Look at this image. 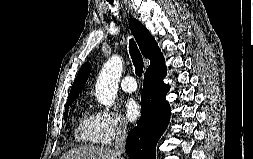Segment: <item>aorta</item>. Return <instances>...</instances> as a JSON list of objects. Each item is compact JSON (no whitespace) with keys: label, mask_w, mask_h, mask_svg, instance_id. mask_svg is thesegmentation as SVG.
<instances>
[{"label":"aorta","mask_w":253,"mask_h":159,"mask_svg":"<svg viewBox=\"0 0 253 159\" xmlns=\"http://www.w3.org/2000/svg\"><path fill=\"white\" fill-rule=\"evenodd\" d=\"M122 70V58L117 55L112 56L104 64L96 81V98L107 110L115 102Z\"/></svg>","instance_id":"762f6f07"}]
</instances>
